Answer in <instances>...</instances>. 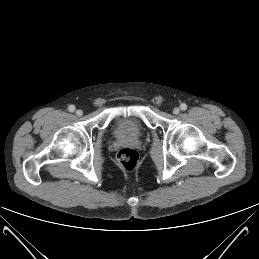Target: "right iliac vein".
<instances>
[{"label": "right iliac vein", "instance_id": "63e3f726", "mask_svg": "<svg viewBox=\"0 0 259 259\" xmlns=\"http://www.w3.org/2000/svg\"><path fill=\"white\" fill-rule=\"evenodd\" d=\"M82 114H83V111H82V110L78 109V110L76 111V115H77V116H82Z\"/></svg>", "mask_w": 259, "mask_h": 259}]
</instances>
